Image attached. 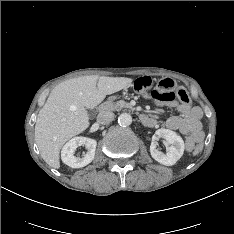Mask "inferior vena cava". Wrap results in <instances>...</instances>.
<instances>
[{"label":"inferior vena cava","mask_w":234,"mask_h":234,"mask_svg":"<svg viewBox=\"0 0 234 234\" xmlns=\"http://www.w3.org/2000/svg\"><path fill=\"white\" fill-rule=\"evenodd\" d=\"M114 113L110 111H102L97 116V122L100 124H108L114 120Z\"/></svg>","instance_id":"602c4592"}]
</instances>
